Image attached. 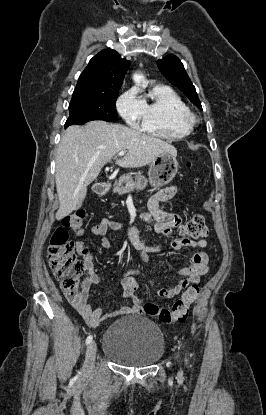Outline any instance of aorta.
<instances>
[{
    "label": "aorta",
    "instance_id": "1",
    "mask_svg": "<svg viewBox=\"0 0 266 415\" xmlns=\"http://www.w3.org/2000/svg\"><path fill=\"white\" fill-rule=\"evenodd\" d=\"M133 79H134V81H135L136 83L141 82V77H140V76H138V75H134V76H133Z\"/></svg>",
    "mask_w": 266,
    "mask_h": 415
}]
</instances>
